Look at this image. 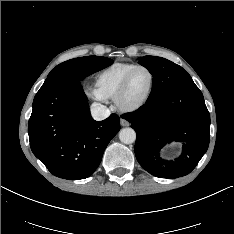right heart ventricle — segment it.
I'll list each match as a JSON object with an SVG mask.
<instances>
[{
	"instance_id": "right-heart-ventricle-1",
	"label": "right heart ventricle",
	"mask_w": 234,
	"mask_h": 234,
	"mask_svg": "<svg viewBox=\"0 0 234 234\" xmlns=\"http://www.w3.org/2000/svg\"><path fill=\"white\" fill-rule=\"evenodd\" d=\"M137 65L116 63L102 71L95 78V86L104 99H114L126 75Z\"/></svg>"
}]
</instances>
